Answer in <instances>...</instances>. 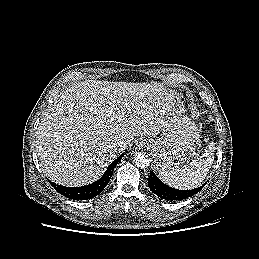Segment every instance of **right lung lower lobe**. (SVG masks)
<instances>
[{"mask_svg":"<svg viewBox=\"0 0 259 259\" xmlns=\"http://www.w3.org/2000/svg\"><path fill=\"white\" fill-rule=\"evenodd\" d=\"M124 154L120 155L116 160H114L103 176L97 180L96 182L82 187H65L61 185H57L53 182L50 184L58 191L60 194L74 200H88L100 194L103 189L107 186L108 182L111 179L112 173L114 171L115 166L118 164L119 160L122 159Z\"/></svg>","mask_w":259,"mask_h":259,"instance_id":"98d812e1","label":"right lung lower lobe"}]
</instances>
